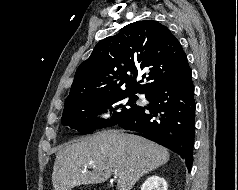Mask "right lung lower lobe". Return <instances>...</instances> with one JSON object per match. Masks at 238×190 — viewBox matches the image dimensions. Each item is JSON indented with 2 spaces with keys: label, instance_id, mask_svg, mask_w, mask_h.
I'll return each mask as SVG.
<instances>
[{
  "label": "right lung lower lobe",
  "instance_id": "1",
  "mask_svg": "<svg viewBox=\"0 0 238 190\" xmlns=\"http://www.w3.org/2000/svg\"><path fill=\"white\" fill-rule=\"evenodd\" d=\"M146 98L150 102L147 107L140 108L116 125L144 133L148 139L173 150L191 170L196 103L188 62L180 73L156 86Z\"/></svg>",
  "mask_w": 238,
  "mask_h": 190
}]
</instances>
